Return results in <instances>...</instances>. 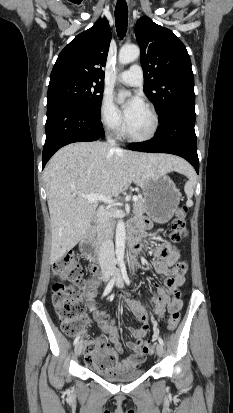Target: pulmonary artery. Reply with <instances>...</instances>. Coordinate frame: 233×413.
<instances>
[{
    "label": "pulmonary artery",
    "mask_w": 233,
    "mask_h": 413,
    "mask_svg": "<svg viewBox=\"0 0 233 413\" xmlns=\"http://www.w3.org/2000/svg\"><path fill=\"white\" fill-rule=\"evenodd\" d=\"M119 81L130 86H139L143 82V72L139 65H132L128 70L119 74Z\"/></svg>",
    "instance_id": "pulmonary-artery-1"
}]
</instances>
